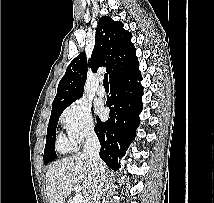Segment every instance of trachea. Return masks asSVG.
<instances>
[{
  "instance_id": "1",
  "label": "trachea",
  "mask_w": 214,
  "mask_h": 203,
  "mask_svg": "<svg viewBox=\"0 0 214 203\" xmlns=\"http://www.w3.org/2000/svg\"><path fill=\"white\" fill-rule=\"evenodd\" d=\"M103 85H104V86H109L108 74H104Z\"/></svg>"
}]
</instances>
